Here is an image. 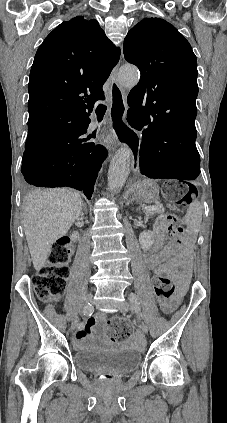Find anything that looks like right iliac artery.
<instances>
[{"label": "right iliac artery", "mask_w": 227, "mask_h": 423, "mask_svg": "<svg viewBox=\"0 0 227 423\" xmlns=\"http://www.w3.org/2000/svg\"><path fill=\"white\" fill-rule=\"evenodd\" d=\"M90 307H91V304L90 303H88L86 306H85V308H84V318H89V316L91 315V310H90ZM84 322L86 321L85 319L83 320ZM78 328L79 329H82V328H84V323L83 322H79L78 323Z\"/></svg>", "instance_id": "obj_1"}]
</instances>
